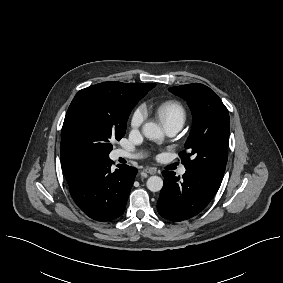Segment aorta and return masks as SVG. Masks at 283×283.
Wrapping results in <instances>:
<instances>
[{
    "instance_id": "1",
    "label": "aorta",
    "mask_w": 283,
    "mask_h": 283,
    "mask_svg": "<svg viewBox=\"0 0 283 283\" xmlns=\"http://www.w3.org/2000/svg\"><path fill=\"white\" fill-rule=\"evenodd\" d=\"M142 132L146 138L153 141H161L164 134L160 126L154 122H147L142 127ZM147 188L152 192H158L163 187V180L159 176H151L147 180Z\"/></svg>"
}]
</instances>
